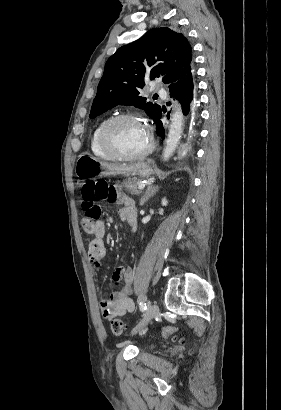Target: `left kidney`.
<instances>
[{
	"label": "left kidney",
	"mask_w": 281,
	"mask_h": 410,
	"mask_svg": "<svg viewBox=\"0 0 281 410\" xmlns=\"http://www.w3.org/2000/svg\"><path fill=\"white\" fill-rule=\"evenodd\" d=\"M168 204V201L164 198V199H162V205L163 206H166Z\"/></svg>",
	"instance_id": "1"
}]
</instances>
